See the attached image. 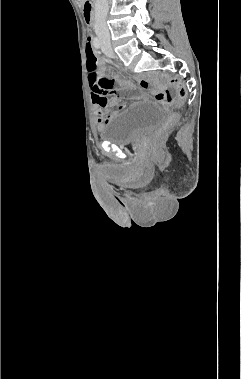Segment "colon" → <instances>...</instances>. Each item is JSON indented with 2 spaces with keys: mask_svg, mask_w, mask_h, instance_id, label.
Returning <instances> with one entry per match:
<instances>
[{
  "mask_svg": "<svg viewBox=\"0 0 241 379\" xmlns=\"http://www.w3.org/2000/svg\"><path fill=\"white\" fill-rule=\"evenodd\" d=\"M86 64H87V80L90 83V88L94 89L98 94L104 95L109 91H113V93L124 95L123 92H119L115 90V85L110 80H102L98 75V59L97 55L94 52L91 42L87 40L86 43ZM175 85L178 87V91L176 94V101L181 103L186 97V90L182 87L176 80L173 81ZM157 100L164 106L169 107L173 104L174 98L173 95L169 92H160L156 96ZM177 116L171 115L166 120L162 128L158 131L157 138L162 137L167 130L176 122Z\"/></svg>",
  "mask_w": 241,
  "mask_h": 379,
  "instance_id": "1",
  "label": "colon"
}]
</instances>
